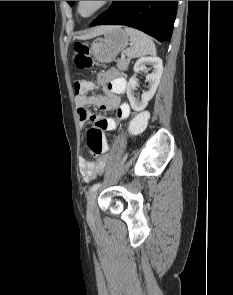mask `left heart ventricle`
Here are the masks:
<instances>
[{"label":"left heart ventricle","instance_id":"left-heart-ventricle-1","mask_svg":"<svg viewBox=\"0 0 233 295\" xmlns=\"http://www.w3.org/2000/svg\"><path fill=\"white\" fill-rule=\"evenodd\" d=\"M98 1H85V3L81 7L82 14H88L90 11L94 9Z\"/></svg>","mask_w":233,"mask_h":295}]
</instances>
